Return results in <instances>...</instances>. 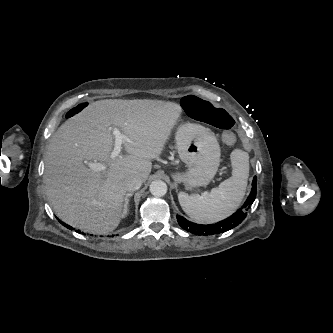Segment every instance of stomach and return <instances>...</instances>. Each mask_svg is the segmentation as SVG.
Here are the masks:
<instances>
[{
	"instance_id": "0dacf381",
	"label": "stomach",
	"mask_w": 333,
	"mask_h": 333,
	"mask_svg": "<svg viewBox=\"0 0 333 333\" xmlns=\"http://www.w3.org/2000/svg\"><path fill=\"white\" fill-rule=\"evenodd\" d=\"M175 140L179 157L188 169L174 173V181L184 183L188 189L208 185L220 164V146L215 135L202 125L187 122L178 127Z\"/></svg>"
}]
</instances>
